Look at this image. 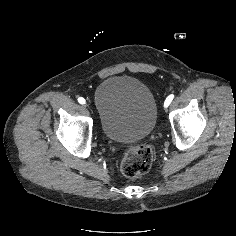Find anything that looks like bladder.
<instances>
[{"mask_svg":"<svg viewBox=\"0 0 236 236\" xmlns=\"http://www.w3.org/2000/svg\"><path fill=\"white\" fill-rule=\"evenodd\" d=\"M103 135L117 143H133L153 130L157 103L151 90L140 80L118 76L104 80L94 96Z\"/></svg>","mask_w":236,"mask_h":236,"instance_id":"bladder-1","label":"bladder"}]
</instances>
